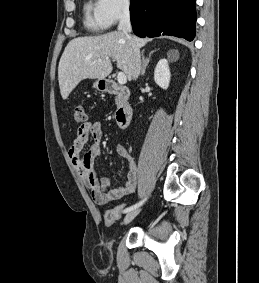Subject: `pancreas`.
<instances>
[{
    "label": "pancreas",
    "instance_id": "cf45deb5",
    "mask_svg": "<svg viewBox=\"0 0 259 283\" xmlns=\"http://www.w3.org/2000/svg\"><path fill=\"white\" fill-rule=\"evenodd\" d=\"M115 101H116L117 106H119L120 103H121V97H120V96H117V97L115 98Z\"/></svg>",
    "mask_w": 259,
    "mask_h": 283
}]
</instances>
